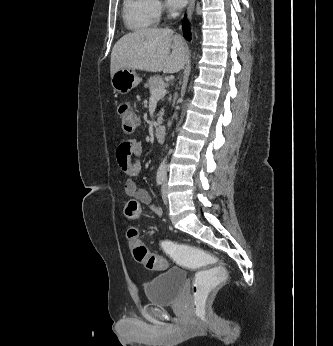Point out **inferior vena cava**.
<instances>
[{"instance_id": "obj_1", "label": "inferior vena cava", "mask_w": 333, "mask_h": 346, "mask_svg": "<svg viewBox=\"0 0 333 346\" xmlns=\"http://www.w3.org/2000/svg\"><path fill=\"white\" fill-rule=\"evenodd\" d=\"M176 15H177V13H176V12H173V13H172V16H176Z\"/></svg>"}]
</instances>
